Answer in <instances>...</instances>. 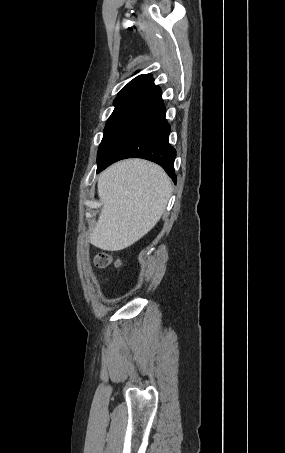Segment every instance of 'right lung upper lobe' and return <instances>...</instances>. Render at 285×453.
<instances>
[{
  "label": "right lung upper lobe",
  "mask_w": 285,
  "mask_h": 453,
  "mask_svg": "<svg viewBox=\"0 0 285 453\" xmlns=\"http://www.w3.org/2000/svg\"><path fill=\"white\" fill-rule=\"evenodd\" d=\"M153 77L151 74H143L139 75L133 80H131L119 93L118 97L115 100H123L125 101L139 89L144 87L146 84L151 82Z\"/></svg>",
  "instance_id": "cb5924a9"
}]
</instances>
